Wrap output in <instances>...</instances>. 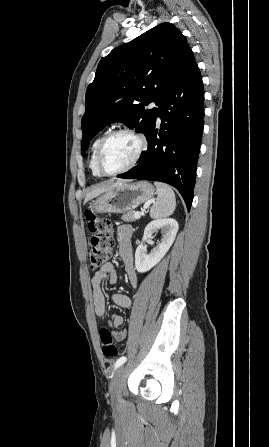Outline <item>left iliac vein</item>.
I'll return each mask as SVG.
<instances>
[{
  "mask_svg": "<svg viewBox=\"0 0 269 447\" xmlns=\"http://www.w3.org/2000/svg\"><path fill=\"white\" fill-rule=\"evenodd\" d=\"M125 367L120 366L113 374V377L110 382V394L111 400L113 404H118L122 401V388H121V379L124 375Z\"/></svg>",
  "mask_w": 269,
  "mask_h": 447,
  "instance_id": "4c4485c4",
  "label": "left iliac vein"
}]
</instances>
